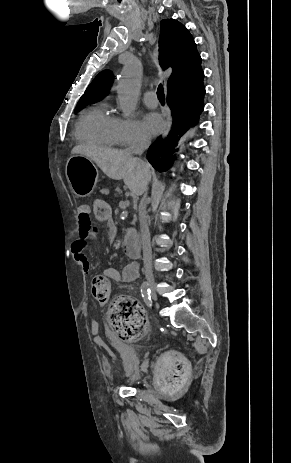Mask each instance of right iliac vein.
I'll return each mask as SVG.
<instances>
[{
  "mask_svg": "<svg viewBox=\"0 0 291 463\" xmlns=\"http://www.w3.org/2000/svg\"><path fill=\"white\" fill-rule=\"evenodd\" d=\"M148 282L150 284V288L152 290V297L154 300H157V294H156V291H155V281L153 278H148Z\"/></svg>",
  "mask_w": 291,
  "mask_h": 463,
  "instance_id": "1",
  "label": "right iliac vein"
}]
</instances>
